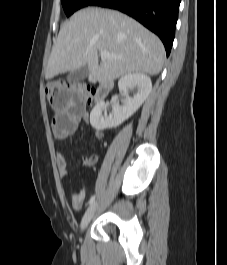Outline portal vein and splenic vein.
I'll return each instance as SVG.
<instances>
[{
  "label": "portal vein and splenic vein",
  "mask_w": 227,
  "mask_h": 265,
  "mask_svg": "<svg viewBox=\"0 0 227 265\" xmlns=\"http://www.w3.org/2000/svg\"><path fill=\"white\" fill-rule=\"evenodd\" d=\"M100 55H101V59L104 60V59H108L110 57H114V56H111L109 52L107 51H100Z\"/></svg>",
  "instance_id": "portal-vein-and-splenic-vein-1"
}]
</instances>
